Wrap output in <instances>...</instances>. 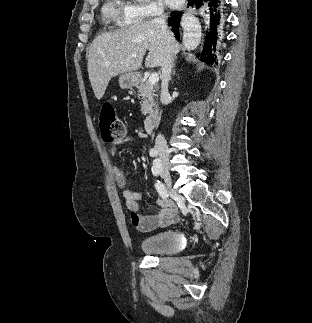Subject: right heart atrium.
<instances>
[{"label":"right heart atrium","instance_id":"right-heart-atrium-1","mask_svg":"<svg viewBox=\"0 0 312 323\" xmlns=\"http://www.w3.org/2000/svg\"><path fill=\"white\" fill-rule=\"evenodd\" d=\"M164 11L159 2H133L120 10V17H128V22H151V17H159Z\"/></svg>","mask_w":312,"mask_h":323}]
</instances>
